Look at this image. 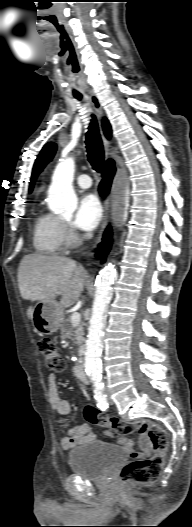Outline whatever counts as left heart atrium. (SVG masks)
Masks as SVG:
<instances>
[{
	"label": "left heart atrium",
	"instance_id": "39dd6f15",
	"mask_svg": "<svg viewBox=\"0 0 192 527\" xmlns=\"http://www.w3.org/2000/svg\"><path fill=\"white\" fill-rule=\"evenodd\" d=\"M102 218V207L93 194L83 196L73 219L75 228L81 231H91L96 228Z\"/></svg>",
	"mask_w": 192,
	"mask_h": 527
}]
</instances>
